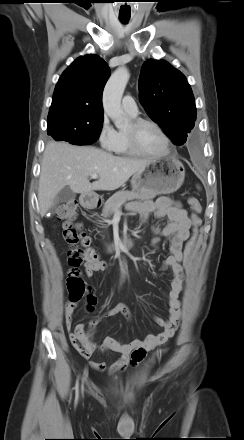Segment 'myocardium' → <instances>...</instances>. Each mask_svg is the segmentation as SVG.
<instances>
[{
	"label": "myocardium",
	"instance_id": "obj_1",
	"mask_svg": "<svg viewBox=\"0 0 244 440\" xmlns=\"http://www.w3.org/2000/svg\"><path fill=\"white\" fill-rule=\"evenodd\" d=\"M130 125H131V129L126 130L125 134H126V138H127V141L129 143L131 149L136 154L143 155V156H149V157H158V156L166 155L171 151V149H172L171 138L168 135V133L166 132V130L163 128V126L160 123H158L157 121H155L153 119H149V118H136V119L132 120ZM143 125H152L155 128H157L158 131L161 133V135L163 136V138L165 140V149L162 152L149 153V152L144 151L141 148L140 143L138 141V137H137V130H138V128H140Z\"/></svg>",
	"mask_w": 244,
	"mask_h": 440
}]
</instances>
